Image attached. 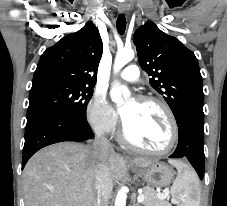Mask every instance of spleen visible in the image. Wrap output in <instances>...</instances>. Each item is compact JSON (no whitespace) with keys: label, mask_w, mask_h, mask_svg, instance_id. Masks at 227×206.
Wrapping results in <instances>:
<instances>
[{"label":"spleen","mask_w":227,"mask_h":206,"mask_svg":"<svg viewBox=\"0 0 227 206\" xmlns=\"http://www.w3.org/2000/svg\"><path fill=\"white\" fill-rule=\"evenodd\" d=\"M178 171L172 187V196L179 200V206H200V188L196 174L180 161H170Z\"/></svg>","instance_id":"1"}]
</instances>
